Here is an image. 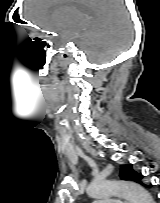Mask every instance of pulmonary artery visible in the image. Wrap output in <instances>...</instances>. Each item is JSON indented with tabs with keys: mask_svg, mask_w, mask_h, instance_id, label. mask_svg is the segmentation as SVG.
<instances>
[{
	"mask_svg": "<svg viewBox=\"0 0 160 203\" xmlns=\"http://www.w3.org/2000/svg\"><path fill=\"white\" fill-rule=\"evenodd\" d=\"M93 203H121L119 200H110V201H95Z\"/></svg>",
	"mask_w": 160,
	"mask_h": 203,
	"instance_id": "pulmonary-artery-1",
	"label": "pulmonary artery"
}]
</instances>
